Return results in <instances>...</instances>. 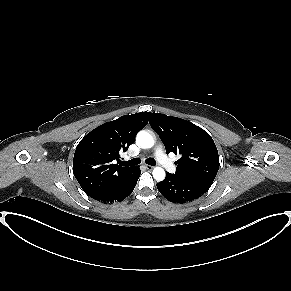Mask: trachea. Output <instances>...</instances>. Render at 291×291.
<instances>
[{
  "label": "trachea",
  "mask_w": 291,
  "mask_h": 291,
  "mask_svg": "<svg viewBox=\"0 0 291 291\" xmlns=\"http://www.w3.org/2000/svg\"><path fill=\"white\" fill-rule=\"evenodd\" d=\"M140 163H141L140 159L134 158L132 160H129V161H126V162H122L121 164L122 165H127V166H134V165H138ZM146 163L148 165H151V166H155L156 165V161L153 158L146 159Z\"/></svg>",
  "instance_id": "1"
}]
</instances>
